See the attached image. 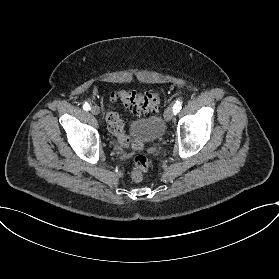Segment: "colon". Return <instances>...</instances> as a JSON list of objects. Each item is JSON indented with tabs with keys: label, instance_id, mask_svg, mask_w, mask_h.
<instances>
[{
	"label": "colon",
	"instance_id": "obj_1",
	"mask_svg": "<svg viewBox=\"0 0 279 279\" xmlns=\"http://www.w3.org/2000/svg\"><path fill=\"white\" fill-rule=\"evenodd\" d=\"M110 100L112 102L121 101L133 114L148 115L158 110L161 102V95L152 90L144 93H135L124 89H116L110 92ZM105 117L109 131L116 137L118 143L122 147H132L138 151L143 150V143L140 140H132L126 133L124 122L117 112L107 110ZM148 168L149 162L145 156L138 155L134 157L131 177L134 181L141 182Z\"/></svg>",
	"mask_w": 279,
	"mask_h": 279
}]
</instances>
